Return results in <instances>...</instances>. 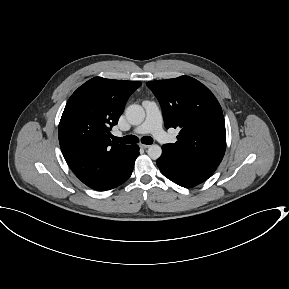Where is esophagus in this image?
<instances>
[{
	"mask_svg": "<svg viewBox=\"0 0 289 289\" xmlns=\"http://www.w3.org/2000/svg\"><path fill=\"white\" fill-rule=\"evenodd\" d=\"M140 147L143 148V149H147L150 147V145H147V144H140Z\"/></svg>",
	"mask_w": 289,
	"mask_h": 289,
	"instance_id": "1",
	"label": "esophagus"
}]
</instances>
